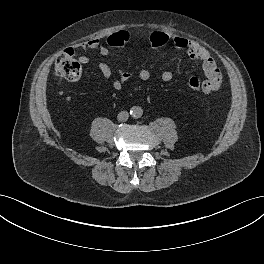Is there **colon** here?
I'll list each match as a JSON object with an SVG mask.
<instances>
[{
  "label": "colon",
  "instance_id": "obj_1",
  "mask_svg": "<svg viewBox=\"0 0 264 264\" xmlns=\"http://www.w3.org/2000/svg\"><path fill=\"white\" fill-rule=\"evenodd\" d=\"M130 40L127 30H118L112 33L106 40L109 48H119L125 46ZM150 44L152 48L157 49L167 45L170 42V35L161 30H155L150 35ZM54 75L58 82H73L80 79L82 67L73 57V52L66 49L60 53L55 60ZM187 86L193 91L205 92L207 84L197 77H191L187 81Z\"/></svg>",
  "mask_w": 264,
  "mask_h": 264
}]
</instances>
